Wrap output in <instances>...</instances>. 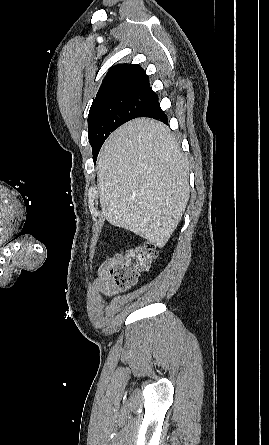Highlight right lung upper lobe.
Segmentation results:
<instances>
[{"instance_id":"right-lung-upper-lobe-1","label":"right lung upper lobe","mask_w":269,"mask_h":445,"mask_svg":"<svg viewBox=\"0 0 269 445\" xmlns=\"http://www.w3.org/2000/svg\"><path fill=\"white\" fill-rule=\"evenodd\" d=\"M128 88H150L148 76L138 64L113 66L106 74L95 99L106 93Z\"/></svg>"}]
</instances>
